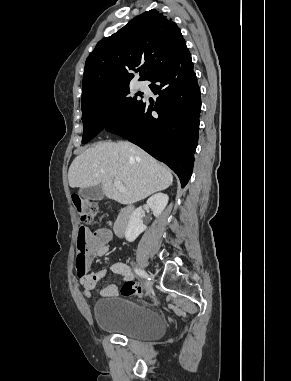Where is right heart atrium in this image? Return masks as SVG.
Instances as JSON below:
<instances>
[{
  "mask_svg": "<svg viewBox=\"0 0 291 381\" xmlns=\"http://www.w3.org/2000/svg\"><path fill=\"white\" fill-rule=\"evenodd\" d=\"M109 117H110V118H112V117H113V114H112V113H110Z\"/></svg>",
  "mask_w": 291,
  "mask_h": 381,
  "instance_id": "d8ad5b80",
  "label": "right heart atrium"
}]
</instances>
